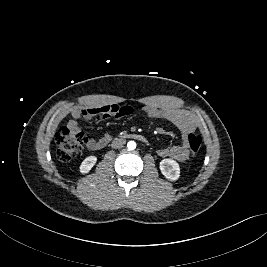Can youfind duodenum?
Returning <instances> with one entry per match:
<instances>
[{
	"label": "duodenum",
	"instance_id": "obj_1",
	"mask_svg": "<svg viewBox=\"0 0 267 267\" xmlns=\"http://www.w3.org/2000/svg\"><path fill=\"white\" fill-rule=\"evenodd\" d=\"M121 139H135L141 142H146V137L139 133H129L121 137Z\"/></svg>",
	"mask_w": 267,
	"mask_h": 267
}]
</instances>
